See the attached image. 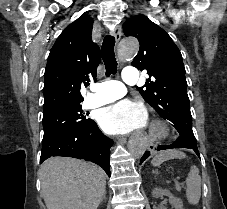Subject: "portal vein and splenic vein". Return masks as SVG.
I'll return each instance as SVG.
<instances>
[{
  "label": "portal vein and splenic vein",
  "mask_w": 227,
  "mask_h": 209,
  "mask_svg": "<svg viewBox=\"0 0 227 209\" xmlns=\"http://www.w3.org/2000/svg\"><path fill=\"white\" fill-rule=\"evenodd\" d=\"M184 183L181 181V182H178V181H175L174 182V185H175V188H176V190L177 191H180L181 190V188L183 187L182 185H183Z\"/></svg>",
  "instance_id": "1"
}]
</instances>
